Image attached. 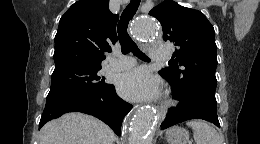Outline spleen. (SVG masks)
I'll list each match as a JSON object with an SVG mask.
<instances>
[{"label":"spleen","mask_w":260,"mask_h":144,"mask_svg":"<svg viewBox=\"0 0 260 144\" xmlns=\"http://www.w3.org/2000/svg\"><path fill=\"white\" fill-rule=\"evenodd\" d=\"M194 132V140L196 144H222V137L208 123L195 120L186 123Z\"/></svg>","instance_id":"3e777b00"}]
</instances>
